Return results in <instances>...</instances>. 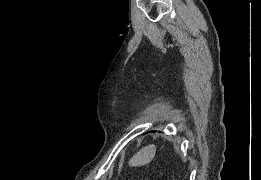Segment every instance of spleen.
Returning <instances> with one entry per match:
<instances>
[{
  "mask_svg": "<svg viewBox=\"0 0 261 180\" xmlns=\"http://www.w3.org/2000/svg\"><path fill=\"white\" fill-rule=\"evenodd\" d=\"M156 154V146L154 144H150V146H145V148H141L139 152H136L134 156H132L131 160H129V166H134V168H140V166H146V164H150L152 162L154 156Z\"/></svg>",
  "mask_w": 261,
  "mask_h": 180,
  "instance_id": "1",
  "label": "spleen"
}]
</instances>
